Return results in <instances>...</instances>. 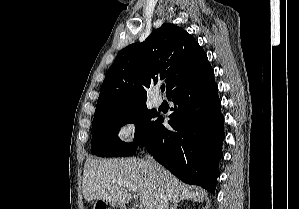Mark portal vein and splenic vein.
<instances>
[{
	"label": "portal vein and splenic vein",
	"mask_w": 299,
	"mask_h": 209,
	"mask_svg": "<svg viewBox=\"0 0 299 209\" xmlns=\"http://www.w3.org/2000/svg\"><path fill=\"white\" fill-rule=\"evenodd\" d=\"M114 182H116V183L119 184V185H123V186L127 187L129 191L137 192V188H135V187H133V186H131V185H128V184H127L126 182H124V181H114Z\"/></svg>",
	"instance_id": "1"
}]
</instances>
